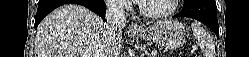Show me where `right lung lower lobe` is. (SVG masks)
I'll use <instances>...</instances> for the list:
<instances>
[{
    "instance_id": "98d812e1",
    "label": "right lung lower lobe",
    "mask_w": 249,
    "mask_h": 57,
    "mask_svg": "<svg viewBox=\"0 0 249 57\" xmlns=\"http://www.w3.org/2000/svg\"><path fill=\"white\" fill-rule=\"evenodd\" d=\"M66 3L83 5L105 19L106 6L103 0H39L35 28L52 10Z\"/></svg>"
}]
</instances>
